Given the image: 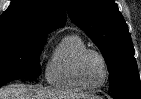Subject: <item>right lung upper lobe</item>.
<instances>
[{"label": "right lung upper lobe", "instance_id": "1", "mask_svg": "<svg viewBox=\"0 0 141 99\" xmlns=\"http://www.w3.org/2000/svg\"><path fill=\"white\" fill-rule=\"evenodd\" d=\"M66 22L63 0H12L0 16V35H25L46 40Z\"/></svg>", "mask_w": 141, "mask_h": 99}]
</instances>
